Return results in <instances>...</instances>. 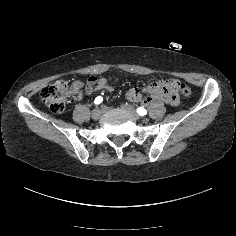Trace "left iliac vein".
I'll use <instances>...</instances> for the list:
<instances>
[{"label": "left iliac vein", "instance_id": "obj_1", "mask_svg": "<svg viewBox=\"0 0 236 236\" xmlns=\"http://www.w3.org/2000/svg\"><path fill=\"white\" fill-rule=\"evenodd\" d=\"M121 108H123L126 112H128L135 120H140L141 117L136 113L133 106L128 104H122Z\"/></svg>", "mask_w": 236, "mask_h": 236}]
</instances>
